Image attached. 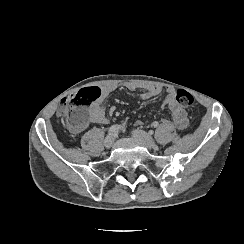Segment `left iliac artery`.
Returning <instances> with one entry per match:
<instances>
[{
  "label": "left iliac artery",
  "instance_id": "left-iliac-artery-1",
  "mask_svg": "<svg viewBox=\"0 0 244 244\" xmlns=\"http://www.w3.org/2000/svg\"><path fill=\"white\" fill-rule=\"evenodd\" d=\"M152 126H153L154 128H156V127L159 126V123H158L157 121H154V122L152 123Z\"/></svg>",
  "mask_w": 244,
  "mask_h": 244
}]
</instances>
